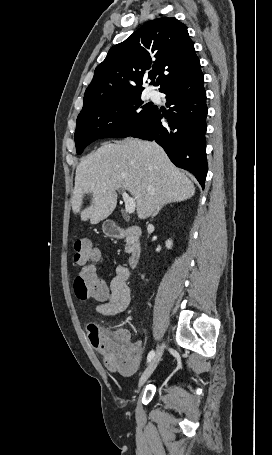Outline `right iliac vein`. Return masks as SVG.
Returning <instances> with one entry per match:
<instances>
[{
	"instance_id": "obj_1",
	"label": "right iliac vein",
	"mask_w": 272,
	"mask_h": 455,
	"mask_svg": "<svg viewBox=\"0 0 272 455\" xmlns=\"http://www.w3.org/2000/svg\"><path fill=\"white\" fill-rule=\"evenodd\" d=\"M164 348H165V343H162L161 346L158 348V350L156 351L154 357L152 358L150 364L148 365V367L145 369V371L142 373L140 379H139V383H138V386L141 387L146 381L147 379L151 376V374L154 372V370L156 369L162 355H163V352H164Z\"/></svg>"
}]
</instances>
